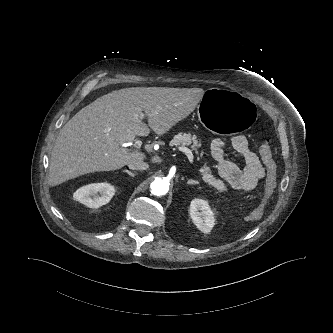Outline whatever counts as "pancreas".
Returning a JSON list of instances; mask_svg holds the SVG:
<instances>
[{
    "instance_id": "obj_1",
    "label": "pancreas",
    "mask_w": 333,
    "mask_h": 333,
    "mask_svg": "<svg viewBox=\"0 0 333 333\" xmlns=\"http://www.w3.org/2000/svg\"><path fill=\"white\" fill-rule=\"evenodd\" d=\"M171 146H185V145H191V148H193L196 153H198L197 148L201 146V142L197 140V137L195 135H192L191 133H179L174 136V138L170 142ZM200 174L202 176V179L204 182H206L208 185L214 187L215 189L224 192L227 190L225 183L222 180L216 179V177L211 175V170L205 163L201 169Z\"/></svg>"
}]
</instances>
